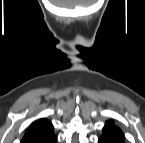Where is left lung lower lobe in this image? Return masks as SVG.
I'll return each mask as SVG.
<instances>
[{"mask_svg":"<svg viewBox=\"0 0 145 143\" xmlns=\"http://www.w3.org/2000/svg\"><path fill=\"white\" fill-rule=\"evenodd\" d=\"M98 143H118V142L113 140L112 138L101 136Z\"/></svg>","mask_w":145,"mask_h":143,"instance_id":"obj_1","label":"left lung lower lobe"}]
</instances>
